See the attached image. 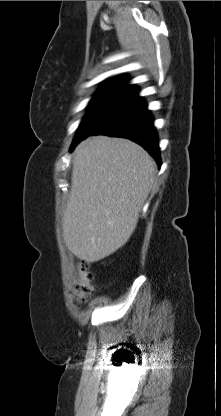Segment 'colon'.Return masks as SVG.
<instances>
[{
    "label": "colon",
    "instance_id": "obj_1",
    "mask_svg": "<svg viewBox=\"0 0 221 416\" xmlns=\"http://www.w3.org/2000/svg\"><path fill=\"white\" fill-rule=\"evenodd\" d=\"M77 279L73 286V295L79 303L86 302L93 289V274L89 269L88 262L79 260L76 263Z\"/></svg>",
    "mask_w": 221,
    "mask_h": 416
}]
</instances>
